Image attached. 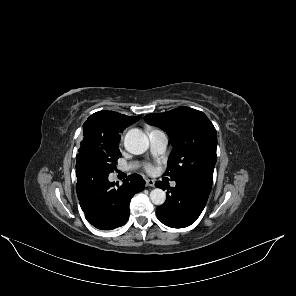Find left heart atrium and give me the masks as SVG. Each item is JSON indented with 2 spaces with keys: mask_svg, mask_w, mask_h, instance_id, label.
I'll return each mask as SVG.
<instances>
[{
  "mask_svg": "<svg viewBox=\"0 0 296 296\" xmlns=\"http://www.w3.org/2000/svg\"><path fill=\"white\" fill-rule=\"evenodd\" d=\"M144 167H145V170H146L148 173H153V172H154V167H153L151 164L146 163Z\"/></svg>",
  "mask_w": 296,
  "mask_h": 296,
  "instance_id": "left-heart-atrium-1",
  "label": "left heart atrium"
}]
</instances>
